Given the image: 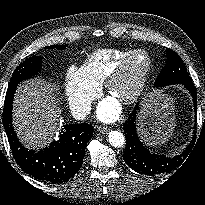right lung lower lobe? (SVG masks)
Instances as JSON below:
<instances>
[{"label":"right lung lower lobe","mask_w":205,"mask_h":205,"mask_svg":"<svg viewBox=\"0 0 205 205\" xmlns=\"http://www.w3.org/2000/svg\"><path fill=\"white\" fill-rule=\"evenodd\" d=\"M16 85L6 92L3 125L13 156L18 165L40 181L59 184L72 178L83 164L87 142L93 135L89 124L64 125L59 140L38 152L28 150L20 143L12 126V104Z\"/></svg>","instance_id":"right-lung-lower-lobe-1"}]
</instances>
